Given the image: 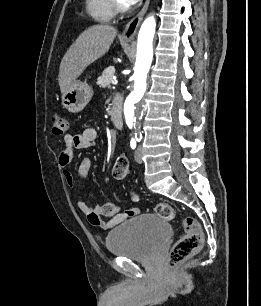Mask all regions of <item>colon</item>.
I'll return each mask as SVG.
<instances>
[{
    "label": "colon",
    "instance_id": "colon-1",
    "mask_svg": "<svg viewBox=\"0 0 261 306\" xmlns=\"http://www.w3.org/2000/svg\"><path fill=\"white\" fill-rule=\"evenodd\" d=\"M52 130L56 135H63L68 129V123L62 113L54 111L51 113ZM130 172L129 162L125 157H119L112 168V175L115 180L125 179ZM134 198H136L134 196ZM156 213L166 221H173L177 217L176 210L168 203H159L156 206ZM184 235L173 245L169 256V267H175L189 256L198 251L203 243V233L198 221L195 218L183 219Z\"/></svg>",
    "mask_w": 261,
    "mask_h": 306
}]
</instances>
